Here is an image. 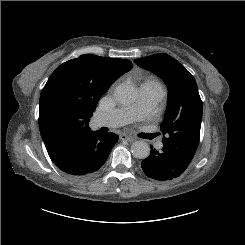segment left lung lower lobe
Here are the masks:
<instances>
[{"label":"left lung lower lobe","mask_w":245,"mask_h":245,"mask_svg":"<svg viewBox=\"0 0 245 245\" xmlns=\"http://www.w3.org/2000/svg\"><path fill=\"white\" fill-rule=\"evenodd\" d=\"M193 158L178 148L163 144L158 152L151 147V154L142 163L144 173L158 181H168L180 176Z\"/></svg>","instance_id":"0a47b994"}]
</instances>
